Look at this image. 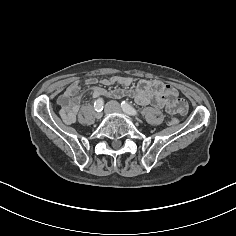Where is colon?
Segmentation results:
<instances>
[{
  "label": "colon",
  "instance_id": "5ec220e1",
  "mask_svg": "<svg viewBox=\"0 0 236 236\" xmlns=\"http://www.w3.org/2000/svg\"><path fill=\"white\" fill-rule=\"evenodd\" d=\"M171 123H172V124H177V123H178V119L173 118V119L171 120Z\"/></svg>",
  "mask_w": 236,
  "mask_h": 236
}]
</instances>
